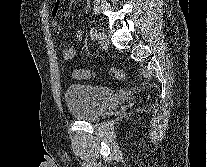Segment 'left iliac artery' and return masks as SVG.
<instances>
[{
	"instance_id": "44dca946",
	"label": "left iliac artery",
	"mask_w": 207,
	"mask_h": 167,
	"mask_svg": "<svg viewBox=\"0 0 207 167\" xmlns=\"http://www.w3.org/2000/svg\"><path fill=\"white\" fill-rule=\"evenodd\" d=\"M90 36L92 38V40H95V38L97 37V30L95 27H92L90 30Z\"/></svg>"
}]
</instances>
